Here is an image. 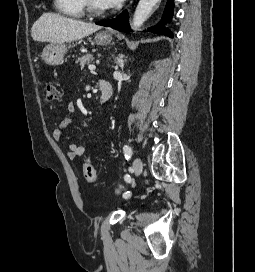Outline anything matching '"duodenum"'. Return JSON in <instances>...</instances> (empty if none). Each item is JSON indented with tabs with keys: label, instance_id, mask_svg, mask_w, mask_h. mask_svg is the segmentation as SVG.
Returning <instances> with one entry per match:
<instances>
[{
	"label": "duodenum",
	"instance_id": "duodenum-1",
	"mask_svg": "<svg viewBox=\"0 0 255 272\" xmlns=\"http://www.w3.org/2000/svg\"><path fill=\"white\" fill-rule=\"evenodd\" d=\"M100 88V102L105 103L113 96V87L111 83L105 79L99 81Z\"/></svg>",
	"mask_w": 255,
	"mask_h": 272
}]
</instances>
